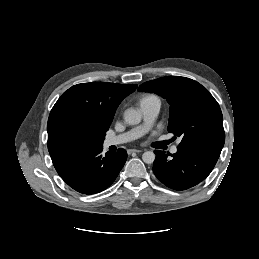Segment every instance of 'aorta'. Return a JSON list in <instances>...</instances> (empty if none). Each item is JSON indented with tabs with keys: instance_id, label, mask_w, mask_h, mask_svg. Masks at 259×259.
<instances>
[{
	"instance_id": "762f6f07",
	"label": "aorta",
	"mask_w": 259,
	"mask_h": 259,
	"mask_svg": "<svg viewBox=\"0 0 259 259\" xmlns=\"http://www.w3.org/2000/svg\"><path fill=\"white\" fill-rule=\"evenodd\" d=\"M142 115L135 109H127L124 113V120L128 125H137L141 122ZM145 163L151 164L155 160V154L152 151H146L142 155Z\"/></svg>"
}]
</instances>
